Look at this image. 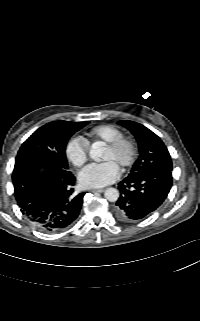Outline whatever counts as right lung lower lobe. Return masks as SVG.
<instances>
[{
  "mask_svg": "<svg viewBox=\"0 0 200 321\" xmlns=\"http://www.w3.org/2000/svg\"><path fill=\"white\" fill-rule=\"evenodd\" d=\"M12 180L20 211L42 231H62L78 217L85 193L74 192L69 170L32 158L15 163Z\"/></svg>",
  "mask_w": 200,
  "mask_h": 321,
  "instance_id": "obj_1",
  "label": "right lung lower lobe"
}]
</instances>
